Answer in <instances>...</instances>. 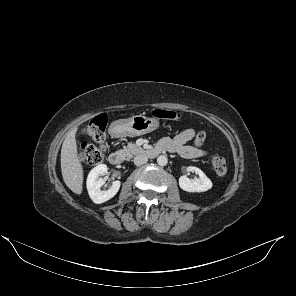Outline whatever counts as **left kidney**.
I'll use <instances>...</instances> for the list:
<instances>
[{
	"label": "left kidney",
	"mask_w": 296,
	"mask_h": 296,
	"mask_svg": "<svg viewBox=\"0 0 296 296\" xmlns=\"http://www.w3.org/2000/svg\"><path fill=\"white\" fill-rule=\"evenodd\" d=\"M187 170L196 172L199 175V179L191 180L185 175L181 176L179 178V186L182 190L187 192H205L212 188L211 180L202 170L193 166L188 167Z\"/></svg>",
	"instance_id": "1"
}]
</instances>
